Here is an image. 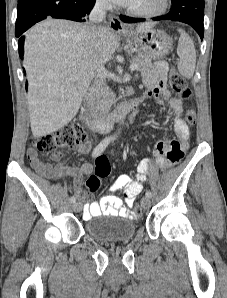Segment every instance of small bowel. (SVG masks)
I'll list each match as a JSON object with an SVG mask.
<instances>
[{
    "label": "small bowel",
    "mask_w": 227,
    "mask_h": 298,
    "mask_svg": "<svg viewBox=\"0 0 227 298\" xmlns=\"http://www.w3.org/2000/svg\"><path fill=\"white\" fill-rule=\"evenodd\" d=\"M167 69V63L159 61L145 79L147 92L144 98H155L161 107L168 106L174 113L173 130L176 138L169 141L159 140L155 145L156 162L160 168L179 167V162H181L188 149L190 136L189 127L182 117L183 106L181 100L172 96L171 92L165 87ZM90 148L91 144L88 141L76 146V150L81 154L88 153ZM27 157L31 166L38 173L48 178H56L63 175L72 177L73 192L80 201H85L89 197V194L82 190L81 186L82 177L93 171V167L90 164H83L80 168L66 166L61 163H57L56 165L45 164L40 160L37 151L33 148L27 150ZM61 157V152L52 154L51 156L52 160L56 162ZM149 167L150 161L143 159L138 165L135 179H132L126 174L120 175L109 188L107 195L84 206L83 218L88 220L101 215H109L135 219L131 208L134 205L136 197L143 189ZM119 191L123 192L126 204L116 195Z\"/></svg>",
    "instance_id": "1"
}]
</instances>
